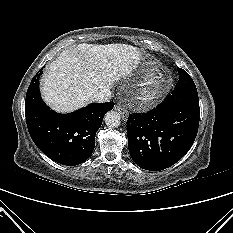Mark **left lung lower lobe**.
<instances>
[{"label": "left lung lower lobe", "mask_w": 233, "mask_h": 233, "mask_svg": "<svg viewBox=\"0 0 233 233\" xmlns=\"http://www.w3.org/2000/svg\"><path fill=\"white\" fill-rule=\"evenodd\" d=\"M199 98L169 94L153 110L130 114L128 147L133 161L150 171L166 169L179 161L192 146L199 126Z\"/></svg>", "instance_id": "0a47b994"}]
</instances>
